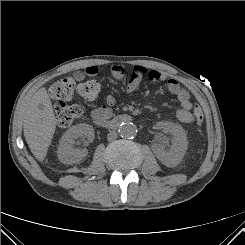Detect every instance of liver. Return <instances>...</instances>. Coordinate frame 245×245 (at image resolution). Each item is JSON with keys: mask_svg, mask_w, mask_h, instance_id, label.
Wrapping results in <instances>:
<instances>
[{"mask_svg": "<svg viewBox=\"0 0 245 245\" xmlns=\"http://www.w3.org/2000/svg\"><path fill=\"white\" fill-rule=\"evenodd\" d=\"M23 132L35 158L43 161L56 130V117L46 88H40L25 107Z\"/></svg>", "mask_w": 245, "mask_h": 245, "instance_id": "1", "label": "liver"}]
</instances>
